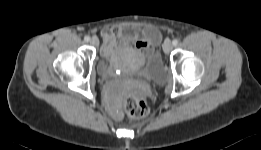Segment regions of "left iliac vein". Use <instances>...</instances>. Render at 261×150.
<instances>
[{
  "instance_id": "1",
  "label": "left iliac vein",
  "mask_w": 261,
  "mask_h": 150,
  "mask_svg": "<svg viewBox=\"0 0 261 150\" xmlns=\"http://www.w3.org/2000/svg\"><path fill=\"white\" fill-rule=\"evenodd\" d=\"M173 48V44L170 40H166L163 44V51L168 54Z\"/></svg>"
}]
</instances>
